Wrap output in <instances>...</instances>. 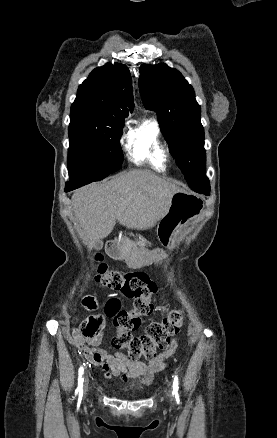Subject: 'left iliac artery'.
<instances>
[{
  "mask_svg": "<svg viewBox=\"0 0 277 438\" xmlns=\"http://www.w3.org/2000/svg\"><path fill=\"white\" fill-rule=\"evenodd\" d=\"M178 389H179L178 376L175 375L174 381H173V395L175 396L177 401L179 400Z\"/></svg>",
  "mask_w": 277,
  "mask_h": 438,
  "instance_id": "1",
  "label": "left iliac artery"
}]
</instances>
